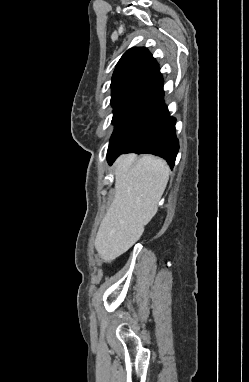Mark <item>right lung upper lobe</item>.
<instances>
[{"label":"right lung upper lobe","instance_id":"1","mask_svg":"<svg viewBox=\"0 0 249 382\" xmlns=\"http://www.w3.org/2000/svg\"><path fill=\"white\" fill-rule=\"evenodd\" d=\"M111 104L145 102L154 104L163 98V78L158 64L143 47L127 50L112 77Z\"/></svg>","mask_w":249,"mask_h":382}]
</instances>
